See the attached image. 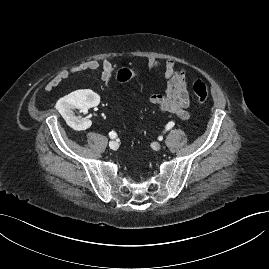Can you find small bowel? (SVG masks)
Instances as JSON below:
<instances>
[{
    "label": "small bowel",
    "instance_id": "small-bowel-1",
    "mask_svg": "<svg viewBox=\"0 0 269 269\" xmlns=\"http://www.w3.org/2000/svg\"><path fill=\"white\" fill-rule=\"evenodd\" d=\"M145 63L148 67L162 71L165 82V93H154L147 97L148 103L161 111L171 113L181 120L189 119L188 107L190 97L185 70L175 60L162 61L156 57H147ZM79 71H100L102 81L110 85L113 80L115 66L108 60H86L78 66ZM68 76V71H61L51 78L45 85L46 91L56 88Z\"/></svg>",
    "mask_w": 269,
    "mask_h": 269
}]
</instances>
